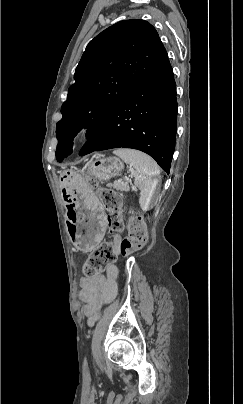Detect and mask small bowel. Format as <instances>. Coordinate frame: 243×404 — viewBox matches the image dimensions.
<instances>
[{"label": "small bowel", "instance_id": "c3829d8e", "mask_svg": "<svg viewBox=\"0 0 243 404\" xmlns=\"http://www.w3.org/2000/svg\"><path fill=\"white\" fill-rule=\"evenodd\" d=\"M118 269L110 264L106 267V274H99L93 278L82 280V297L86 302V314L89 322H94V317L104 303L113 300L117 294L116 278Z\"/></svg>", "mask_w": 243, "mask_h": 404}]
</instances>
